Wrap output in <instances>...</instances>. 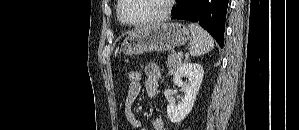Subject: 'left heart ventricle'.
<instances>
[{"label": "left heart ventricle", "mask_w": 299, "mask_h": 130, "mask_svg": "<svg viewBox=\"0 0 299 130\" xmlns=\"http://www.w3.org/2000/svg\"><path fill=\"white\" fill-rule=\"evenodd\" d=\"M166 2V0H126L123 16L131 23L146 21L161 14L165 10Z\"/></svg>", "instance_id": "1"}]
</instances>
